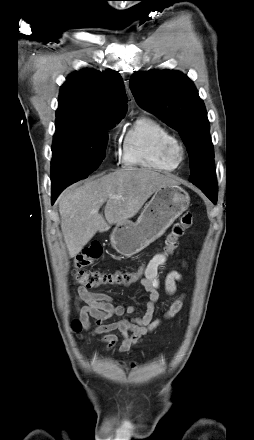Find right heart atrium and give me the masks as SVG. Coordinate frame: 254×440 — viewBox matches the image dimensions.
Returning <instances> with one entry per match:
<instances>
[{
	"mask_svg": "<svg viewBox=\"0 0 254 440\" xmlns=\"http://www.w3.org/2000/svg\"><path fill=\"white\" fill-rule=\"evenodd\" d=\"M116 128L117 127H115V130H114V133H113V139H115V136H116Z\"/></svg>",
	"mask_w": 254,
	"mask_h": 440,
	"instance_id": "d8ad5b80",
	"label": "right heart atrium"
}]
</instances>
